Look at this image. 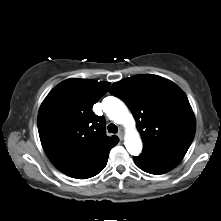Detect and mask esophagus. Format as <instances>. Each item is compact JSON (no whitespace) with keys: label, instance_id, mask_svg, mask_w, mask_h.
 Masks as SVG:
<instances>
[{"label":"esophagus","instance_id":"esophagus-1","mask_svg":"<svg viewBox=\"0 0 221 221\" xmlns=\"http://www.w3.org/2000/svg\"><path fill=\"white\" fill-rule=\"evenodd\" d=\"M118 137L122 140L124 137V129H120V131L118 132Z\"/></svg>","mask_w":221,"mask_h":221}]
</instances>
